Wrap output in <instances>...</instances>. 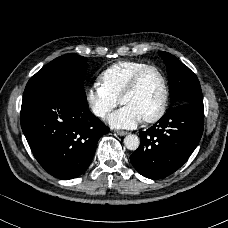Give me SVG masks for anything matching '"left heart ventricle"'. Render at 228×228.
Listing matches in <instances>:
<instances>
[{
  "mask_svg": "<svg viewBox=\"0 0 228 228\" xmlns=\"http://www.w3.org/2000/svg\"><path fill=\"white\" fill-rule=\"evenodd\" d=\"M163 100L161 77L155 71H150L143 77L138 89L125 98L123 104L132 107L144 119L157 113Z\"/></svg>",
  "mask_w": 228,
  "mask_h": 228,
  "instance_id": "obj_1",
  "label": "left heart ventricle"
}]
</instances>
